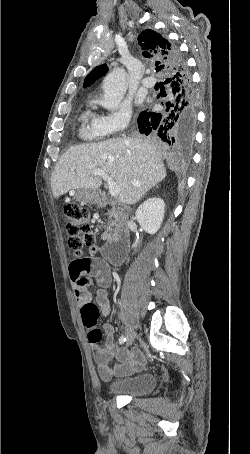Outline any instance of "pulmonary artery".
Here are the masks:
<instances>
[{"mask_svg":"<svg viewBox=\"0 0 250 454\" xmlns=\"http://www.w3.org/2000/svg\"><path fill=\"white\" fill-rule=\"evenodd\" d=\"M156 83V79L153 77H146L142 80V85L145 87H152Z\"/></svg>","mask_w":250,"mask_h":454,"instance_id":"pulmonary-artery-1","label":"pulmonary artery"}]
</instances>
